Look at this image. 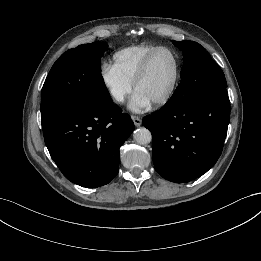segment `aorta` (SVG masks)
I'll return each mask as SVG.
<instances>
[{"instance_id": "1", "label": "aorta", "mask_w": 261, "mask_h": 261, "mask_svg": "<svg viewBox=\"0 0 261 261\" xmlns=\"http://www.w3.org/2000/svg\"><path fill=\"white\" fill-rule=\"evenodd\" d=\"M133 138L137 144L146 145L151 142L152 135L147 128L141 127L134 131Z\"/></svg>"}]
</instances>
